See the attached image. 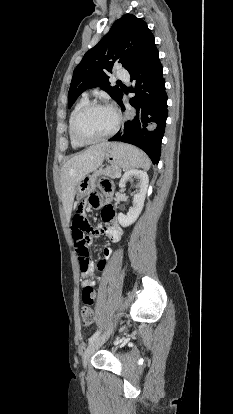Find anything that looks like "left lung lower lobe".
<instances>
[{
	"label": "left lung lower lobe",
	"mask_w": 233,
	"mask_h": 414,
	"mask_svg": "<svg viewBox=\"0 0 233 414\" xmlns=\"http://www.w3.org/2000/svg\"><path fill=\"white\" fill-rule=\"evenodd\" d=\"M134 85L129 88L136 95L130 99V104L136 109V115L124 123L119 131L109 141H121L142 149L153 164L160 159L161 141L164 135L167 119V95L165 81L162 78V65L158 51L137 71L131 73ZM125 110L122 98L118 102Z\"/></svg>",
	"instance_id": "left-lung-lower-lobe-1"
}]
</instances>
